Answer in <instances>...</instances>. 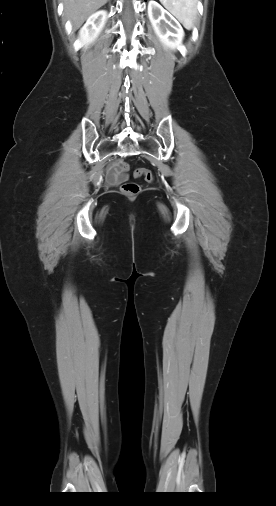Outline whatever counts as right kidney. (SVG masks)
<instances>
[{"mask_svg": "<svg viewBox=\"0 0 276 506\" xmlns=\"http://www.w3.org/2000/svg\"><path fill=\"white\" fill-rule=\"evenodd\" d=\"M107 12L104 10L92 14L79 32V43L81 46L91 44L98 37L105 25Z\"/></svg>", "mask_w": 276, "mask_h": 506, "instance_id": "1", "label": "right kidney"}]
</instances>
